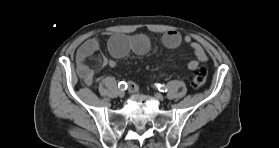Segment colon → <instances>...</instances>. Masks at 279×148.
<instances>
[{
    "instance_id": "obj_1",
    "label": "colon",
    "mask_w": 279,
    "mask_h": 148,
    "mask_svg": "<svg viewBox=\"0 0 279 148\" xmlns=\"http://www.w3.org/2000/svg\"><path fill=\"white\" fill-rule=\"evenodd\" d=\"M207 68L205 66H200L196 68L193 78H192V86L194 88H201L205 85L207 80Z\"/></svg>"
}]
</instances>
